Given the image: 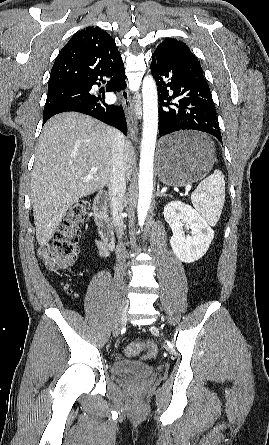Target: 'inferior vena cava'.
I'll return each mask as SVG.
<instances>
[{"label": "inferior vena cava", "instance_id": "obj_1", "mask_svg": "<svg viewBox=\"0 0 269 445\" xmlns=\"http://www.w3.org/2000/svg\"><path fill=\"white\" fill-rule=\"evenodd\" d=\"M112 135V178L109 183V196L112 208L113 223L118 238L123 235V201L126 191V176L124 166V135L116 130H111Z\"/></svg>", "mask_w": 269, "mask_h": 445}]
</instances>
